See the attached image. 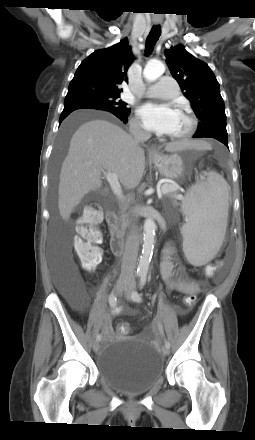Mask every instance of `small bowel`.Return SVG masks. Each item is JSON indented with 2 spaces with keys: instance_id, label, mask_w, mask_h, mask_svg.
Returning a JSON list of instances; mask_svg holds the SVG:
<instances>
[{
  "instance_id": "c3829d8e",
  "label": "small bowel",
  "mask_w": 255,
  "mask_h": 440,
  "mask_svg": "<svg viewBox=\"0 0 255 440\" xmlns=\"http://www.w3.org/2000/svg\"><path fill=\"white\" fill-rule=\"evenodd\" d=\"M173 249L170 244H167L163 249V260L161 263V273L166 286L172 290L183 294H198L201 287L198 283L190 281L180 274L177 277L173 276V264L171 262V255ZM107 330H109V322L106 323Z\"/></svg>"
}]
</instances>
